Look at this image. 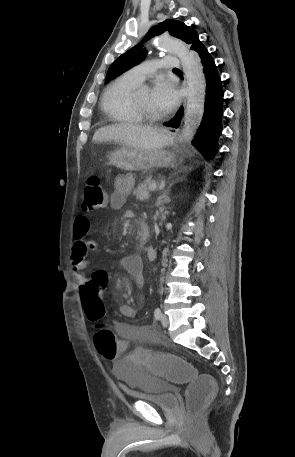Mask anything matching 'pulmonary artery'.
<instances>
[{"label": "pulmonary artery", "instance_id": "obj_1", "mask_svg": "<svg viewBox=\"0 0 295 457\" xmlns=\"http://www.w3.org/2000/svg\"><path fill=\"white\" fill-rule=\"evenodd\" d=\"M180 67V60L171 55L164 56L159 59L146 61L141 63L127 72L131 78L135 79L138 82H142L150 74H152L157 69H169L173 70Z\"/></svg>", "mask_w": 295, "mask_h": 457}]
</instances>
